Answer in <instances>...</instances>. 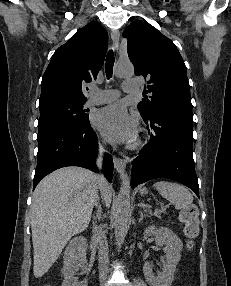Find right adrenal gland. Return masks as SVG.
Returning <instances> with one entry per match:
<instances>
[{
	"instance_id": "2a0ac1e0",
	"label": "right adrenal gland",
	"mask_w": 231,
	"mask_h": 286,
	"mask_svg": "<svg viewBox=\"0 0 231 286\" xmlns=\"http://www.w3.org/2000/svg\"><path fill=\"white\" fill-rule=\"evenodd\" d=\"M101 213H102V211H101V206L98 204V205H97V215H96V217H94V221L100 220V218H101Z\"/></svg>"
}]
</instances>
